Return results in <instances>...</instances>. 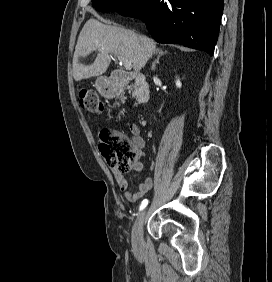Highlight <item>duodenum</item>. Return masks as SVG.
<instances>
[{"label":"duodenum","mask_w":272,"mask_h":282,"mask_svg":"<svg viewBox=\"0 0 272 282\" xmlns=\"http://www.w3.org/2000/svg\"><path fill=\"white\" fill-rule=\"evenodd\" d=\"M133 79L135 83V98L138 103H146L150 98V89L147 80L141 74L131 76L127 72H116L103 85L102 89L107 98L116 99L122 92L124 83Z\"/></svg>","instance_id":"duodenum-1"}]
</instances>
